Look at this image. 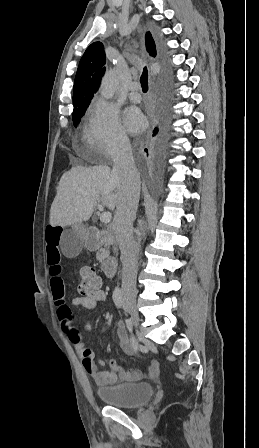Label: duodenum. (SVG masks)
<instances>
[{"mask_svg": "<svg viewBox=\"0 0 259 448\" xmlns=\"http://www.w3.org/2000/svg\"><path fill=\"white\" fill-rule=\"evenodd\" d=\"M113 236L108 231L98 228H91L88 233L87 248L89 250H97L102 245L111 244ZM102 271L108 277L112 278L117 270V262L113 258H105L102 262Z\"/></svg>", "mask_w": 259, "mask_h": 448, "instance_id": "obj_1", "label": "duodenum"}]
</instances>
